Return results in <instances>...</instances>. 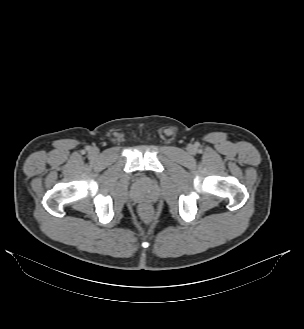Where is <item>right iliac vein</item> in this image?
Listing matches in <instances>:
<instances>
[{
  "instance_id": "obj_1",
  "label": "right iliac vein",
  "mask_w": 304,
  "mask_h": 329,
  "mask_svg": "<svg viewBox=\"0 0 304 329\" xmlns=\"http://www.w3.org/2000/svg\"><path fill=\"white\" fill-rule=\"evenodd\" d=\"M89 153L91 156L95 157L98 155L99 151L97 148H91Z\"/></svg>"
}]
</instances>
